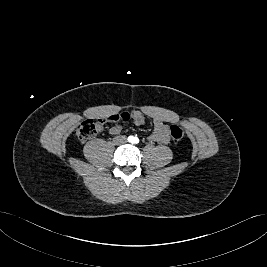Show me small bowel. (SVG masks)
Wrapping results in <instances>:
<instances>
[{
  "label": "small bowel",
  "mask_w": 267,
  "mask_h": 267,
  "mask_svg": "<svg viewBox=\"0 0 267 267\" xmlns=\"http://www.w3.org/2000/svg\"><path fill=\"white\" fill-rule=\"evenodd\" d=\"M127 113V112H126ZM128 114L127 121H132L135 125L140 126L145 123L146 120V114L140 110H134ZM113 114L108 115L106 118L112 116ZM153 119V133L151 135V140L160 144H168L170 141L169 137V128L166 123V119L162 116L154 115L151 116ZM122 127L118 124L113 125L109 132L112 135H117L121 132Z\"/></svg>",
  "instance_id": "1"
}]
</instances>
